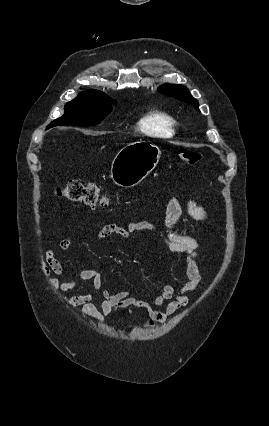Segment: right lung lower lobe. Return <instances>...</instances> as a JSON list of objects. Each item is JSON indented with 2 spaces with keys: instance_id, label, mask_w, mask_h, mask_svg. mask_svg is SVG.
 Instances as JSON below:
<instances>
[{
  "instance_id": "98d812e1",
  "label": "right lung lower lobe",
  "mask_w": 269,
  "mask_h": 426,
  "mask_svg": "<svg viewBox=\"0 0 269 426\" xmlns=\"http://www.w3.org/2000/svg\"><path fill=\"white\" fill-rule=\"evenodd\" d=\"M51 127H54V126L50 124V125L48 126V128H51Z\"/></svg>"
}]
</instances>
